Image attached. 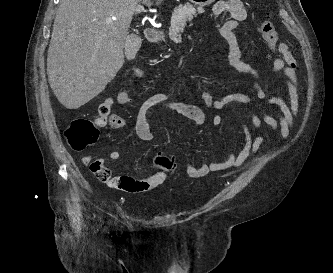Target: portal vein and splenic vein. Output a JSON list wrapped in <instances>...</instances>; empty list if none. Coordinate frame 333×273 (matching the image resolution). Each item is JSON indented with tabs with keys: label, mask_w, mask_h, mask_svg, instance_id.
Here are the masks:
<instances>
[{
	"label": "portal vein and splenic vein",
	"mask_w": 333,
	"mask_h": 273,
	"mask_svg": "<svg viewBox=\"0 0 333 273\" xmlns=\"http://www.w3.org/2000/svg\"><path fill=\"white\" fill-rule=\"evenodd\" d=\"M137 13H141L142 11H144V7H143V5H138L137 7H136V10H135Z\"/></svg>",
	"instance_id": "18ae733b"
}]
</instances>
